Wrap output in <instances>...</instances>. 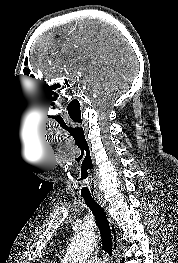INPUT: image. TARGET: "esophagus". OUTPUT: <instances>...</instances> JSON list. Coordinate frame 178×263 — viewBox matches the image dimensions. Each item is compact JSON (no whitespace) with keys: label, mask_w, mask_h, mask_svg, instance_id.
<instances>
[{"label":"esophagus","mask_w":178,"mask_h":263,"mask_svg":"<svg viewBox=\"0 0 178 263\" xmlns=\"http://www.w3.org/2000/svg\"><path fill=\"white\" fill-rule=\"evenodd\" d=\"M98 201L101 203V205L104 207L106 213H107V217H108V221H109V224H110V229H111V234H112V239H113V245H114V258H115V261H116V250L118 248V242H119V238H118V229L114 223V220L113 218L110 216V213L108 211V207L106 206L105 204V201L103 200L102 197H98ZM114 261V263H115Z\"/></svg>","instance_id":"obj_1"}]
</instances>
